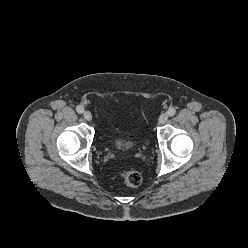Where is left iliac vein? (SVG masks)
I'll return each mask as SVG.
<instances>
[{
	"label": "left iliac vein",
	"mask_w": 248,
	"mask_h": 248,
	"mask_svg": "<svg viewBox=\"0 0 248 248\" xmlns=\"http://www.w3.org/2000/svg\"><path fill=\"white\" fill-rule=\"evenodd\" d=\"M168 120V115L166 113H162L158 119L159 124H164Z\"/></svg>",
	"instance_id": "4c4485c4"
}]
</instances>
